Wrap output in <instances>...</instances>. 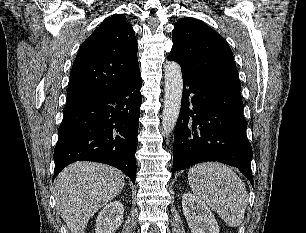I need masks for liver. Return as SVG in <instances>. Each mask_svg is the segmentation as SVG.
I'll return each mask as SVG.
<instances>
[{
  "label": "liver",
  "mask_w": 306,
  "mask_h": 233,
  "mask_svg": "<svg viewBox=\"0 0 306 233\" xmlns=\"http://www.w3.org/2000/svg\"><path fill=\"white\" fill-rule=\"evenodd\" d=\"M119 170L96 162L67 166L55 183L56 207L71 233H84L91 217L124 187Z\"/></svg>",
  "instance_id": "6515ba94"
}]
</instances>
